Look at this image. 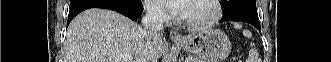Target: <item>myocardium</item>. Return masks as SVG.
<instances>
[{"mask_svg":"<svg viewBox=\"0 0 331 62\" xmlns=\"http://www.w3.org/2000/svg\"><path fill=\"white\" fill-rule=\"evenodd\" d=\"M207 1L213 10L212 15L206 19V20H200V21H189L186 19H183V24L190 29L194 30H200V29H206L209 27H212L215 25L222 17V8L220 5V2L218 0H204Z\"/></svg>","mask_w":331,"mask_h":62,"instance_id":"obj_1","label":"myocardium"}]
</instances>
